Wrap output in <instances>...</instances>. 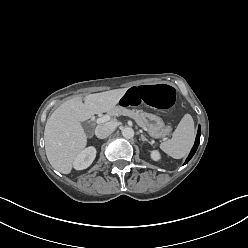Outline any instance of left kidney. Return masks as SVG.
Segmentation results:
<instances>
[{
	"label": "left kidney",
	"mask_w": 248,
	"mask_h": 248,
	"mask_svg": "<svg viewBox=\"0 0 248 248\" xmlns=\"http://www.w3.org/2000/svg\"><path fill=\"white\" fill-rule=\"evenodd\" d=\"M151 158L154 161H159L161 159V155L157 150L151 151Z\"/></svg>",
	"instance_id": "left-kidney-1"
}]
</instances>
